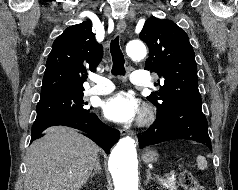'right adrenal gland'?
Instances as JSON below:
<instances>
[{"instance_id":"2a0ac1e0","label":"right adrenal gland","mask_w":238,"mask_h":190,"mask_svg":"<svg viewBox=\"0 0 238 190\" xmlns=\"http://www.w3.org/2000/svg\"><path fill=\"white\" fill-rule=\"evenodd\" d=\"M97 173H100V174L102 173V168H101V165H100L99 158H97V160H96L94 172L91 174V178H93Z\"/></svg>"}]
</instances>
